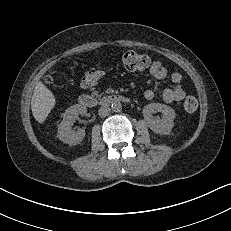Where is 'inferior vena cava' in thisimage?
Returning <instances> with one entry per match:
<instances>
[{
  "label": "inferior vena cava",
  "mask_w": 231,
  "mask_h": 231,
  "mask_svg": "<svg viewBox=\"0 0 231 231\" xmlns=\"http://www.w3.org/2000/svg\"><path fill=\"white\" fill-rule=\"evenodd\" d=\"M110 111H111V109H110L108 106L104 105V106H101V107L99 108V110H98V115H99L100 117H106V116L109 115Z\"/></svg>",
  "instance_id": "602c4592"
}]
</instances>
